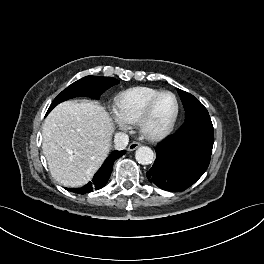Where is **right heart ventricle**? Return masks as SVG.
Masks as SVG:
<instances>
[{"label":"right heart ventricle","instance_id":"obj_1","mask_svg":"<svg viewBox=\"0 0 264 264\" xmlns=\"http://www.w3.org/2000/svg\"><path fill=\"white\" fill-rule=\"evenodd\" d=\"M160 92L145 86L124 90L115 98V113L128 124L137 123L148 102Z\"/></svg>","mask_w":264,"mask_h":264}]
</instances>
